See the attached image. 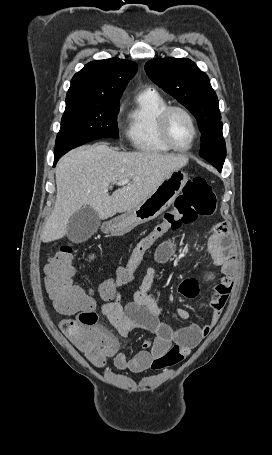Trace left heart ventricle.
I'll use <instances>...</instances> for the list:
<instances>
[{
	"label": "left heart ventricle",
	"instance_id": "1",
	"mask_svg": "<svg viewBox=\"0 0 272 455\" xmlns=\"http://www.w3.org/2000/svg\"><path fill=\"white\" fill-rule=\"evenodd\" d=\"M168 130L171 140L178 147H186L190 144L193 137L192 126L181 112L175 111L170 115Z\"/></svg>",
	"mask_w": 272,
	"mask_h": 455
}]
</instances>
